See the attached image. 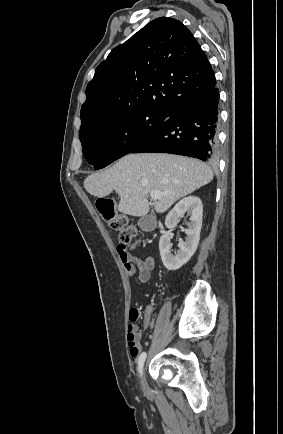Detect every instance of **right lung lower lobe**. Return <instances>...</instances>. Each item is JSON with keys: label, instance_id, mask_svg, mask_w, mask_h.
Masks as SVG:
<instances>
[{"label": "right lung lower lobe", "instance_id": "1", "mask_svg": "<svg viewBox=\"0 0 283 434\" xmlns=\"http://www.w3.org/2000/svg\"><path fill=\"white\" fill-rule=\"evenodd\" d=\"M218 99L214 86L178 105L131 153H170L214 162L217 157Z\"/></svg>", "mask_w": 283, "mask_h": 434}]
</instances>
